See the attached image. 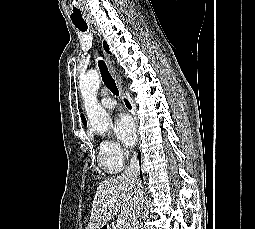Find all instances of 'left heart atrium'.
<instances>
[{"instance_id":"1","label":"left heart atrium","mask_w":255,"mask_h":229,"mask_svg":"<svg viewBox=\"0 0 255 229\" xmlns=\"http://www.w3.org/2000/svg\"><path fill=\"white\" fill-rule=\"evenodd\" d=\"M118 139L127 146H133L137 139L136 127L131 118L121 115L114 124Z\"/></svg>"}]
</instances>
